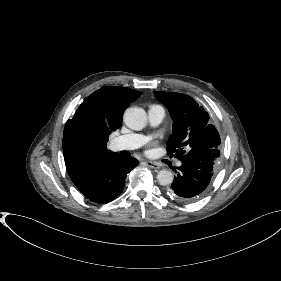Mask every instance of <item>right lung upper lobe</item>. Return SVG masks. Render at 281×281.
Returning <instances> with one entry per match:
<instances>
[{"label":"right lung upper lobe","instance_id":"1","mask_svg":"<svg viewBox=\"0 0 281 281\" xmlns=\"http://www.w3.org/2000/svg\"><path fill=\"white\" fill-rule=\"evenodd\" d=\"M140 95L141 92L127 87L110 86L85 98L64 128V160L72 179L79 177L98 158L112 153L106 148L108 137L121 126L122 113ZM77 131L87 135V144L76 142Z\"/></svg>","mask_w":281,"mask_h":281}]
</instances>
